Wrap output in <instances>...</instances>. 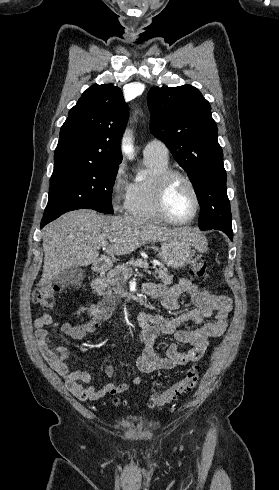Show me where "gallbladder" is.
Returning <instances> with one entry per match:
<instances>
[{"label": "gallbladder", "instance_id": "1", "mask_svg": "<svg viewBox=\"0 0 279 490\" xmlns=\"http://www.w3.org/2000/svg\"><path fill=\"white\" fill-rule=\"evenodd\" d=\"M85 276V270H82L80 266H71V268H67V270H63L61 274H58L54 278V282L60 288H75V286L82 284Z\"/></svg>", "mask_w": 279, "mask_h": 490}]
</instances>
